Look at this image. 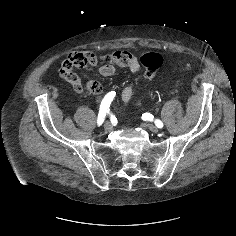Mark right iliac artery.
<instances>
[{
  "label": "right iliac artery",
  "instance_id": "right-iliac-artery-1",
  "mask_svg": "<svg viewBox=\"0 0 236 236\" xmlns=\"http://www.w3.org/2000/svg\"><path fill=\"white\" fill-rule=\"evenodd\" d=\"M116 95L115 91H111L105 95L103 98L101 104H100V109L98 113V119H97V124L98 126L102 125L104 122L105 116L107 113H109L110 109V104L113 101L114 97Z\"/></svg>",
  "mask_w": 236,
  "mask_h": 236
}]
</instances>
